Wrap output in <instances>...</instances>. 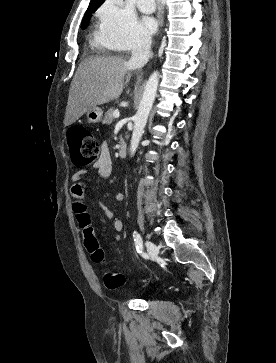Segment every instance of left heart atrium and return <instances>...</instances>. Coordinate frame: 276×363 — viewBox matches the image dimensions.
I'll return each mask as SVG.
<instances>
[{
	"mask_svg": "<svg viewBox=\"0 0 276 363\" xmlns=\"http://www.w3.org/2000/svg\"><path fill=\"white\" fill-rule=\"evenodd\" d=\"M142 27L146 33L151 34L156 31L157 20L152 16H144L141 20Z\"/></svg>",
	"mask_w": 276,
	"mask_h": 363,
	"instance_id": "1",
	"label": "left heart atrium"
}]
</instances>
